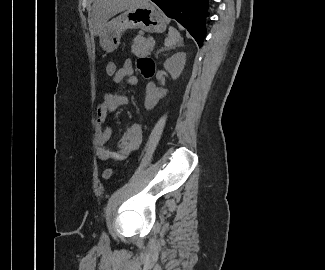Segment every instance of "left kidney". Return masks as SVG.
<instances>
[{
  "label": "left kidney",
  "instance_id": "1",
  "mask_svg": "<svg viewBox=\"0 0 325 270\" xmlns=\"http://www.w3.org/2000/svg\"><path fill=\"white\" fill-rule=\"evenodd\" d=\"M186 63V53L178 52L168 58L163 66L168 71L173 79H177L182 73ZM167 93V90H158L154 83H148L146 86L145 108L151 110L156 106L161 98Z\"/></svg>",
  "mask_w": 325,
  "mask_h": 270
}]
</instances>
